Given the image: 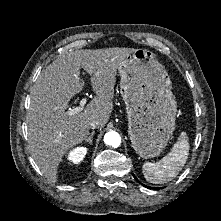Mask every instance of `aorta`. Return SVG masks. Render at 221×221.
Instances as JSON below:
<instances>
[{
  "instance_id": "aorta-1",
  "label": "aorta",
  "mask_w": 221,
  "mask_h": 221,
  "mask_svg": "<svg viewBox=\"0 0 221 221\" xmlns=\"http://www.w3.org/2000/svg\"><path fill=\"white\" fill-rule=\"evenodd\" d=\"M104 142H105V144H107L109 146L117 148L121 144V137L117 132L110 131L105 134Z\"/></svg>"
}]
</instances>
